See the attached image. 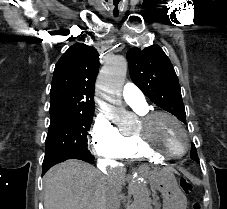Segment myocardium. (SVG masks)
I'll list each match as a JSON object with an SVG mask.
<instances>
[{
	"mask_svg": "<svg viewBox=\"0 0 227 209\" xmlns=\"http://www.w3.org/2000/svg\"><path fill=\"white\" fill-rule=\"evenodd\" d=\"M157 116H166L169 119L173 120L177 126L181 129V131L183 132L184 136H185V146L182 149L181 152L179 153H169V154H165L162 153L161 151L155 149L154 147H152L150 145V143L141 135L140 132H135L134 133V137L136 139V141L141 145V147L150 155L158 157L160 159H165V160H170V159H175V158H180L182 156H184L190 147V138L187 132V129L185 127V125L183 124V122L174 114L165 111V110H150V111H146L144 114L141 115L140 117V124L144 125L148 122H150L152 119H154Z\"/></svg>",
	"mask_w": 227,
	"mask_h": 209,
	"instance_id": "myocardium-1",
	"label": "myocardium"
}]
</instances>
